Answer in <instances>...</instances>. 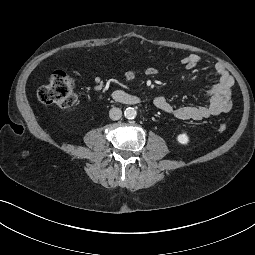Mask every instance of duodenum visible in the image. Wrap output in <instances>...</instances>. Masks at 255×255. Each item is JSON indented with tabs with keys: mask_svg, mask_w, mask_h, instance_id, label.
<instances>
[{
	"mask_svg": "<svg viewBox=\"0 0 255 255\" xmlns=\"http://www.w3.org/2000/svg\"><path fill=\"white\" fill-rule=\"evenodd\" d=\"M112 97L114 100L118 102L129 104V105H136L141 102V99L138 96L131 95L123 91H114L112 93Z\"/></svg>",
	"mask_w": 255,
	"mask_h": 255,
	"instance_id": "1",
	"label": "duodenum"
}]
</instances>
